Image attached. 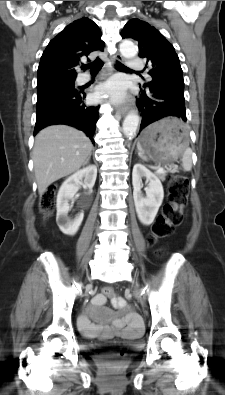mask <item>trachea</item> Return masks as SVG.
Wrapping results in <instances>:
<instances>
[{"mask_svg":"<svg viewBox=\"0 0 225 395\" xmlns=\"http://www.w3.org/2000/svg\"><path fill=\"white\" fill-rule=\"evenodd\" d=\"M102 66H103V62H102L99 58H97L94 62H92V63H90V64H88V65H85V66H83V67H84L85 69H90V71H91L92 73H96V72L100 71V69L102 68ZM117 68H118L119 70H130L128 67H126L125 65H123V64L120 63V62H118Z\"/></svg>","mask_w":225,"mask_h":395,"instance_id":"trachea-1","label":"trachea"}]
</instances>
